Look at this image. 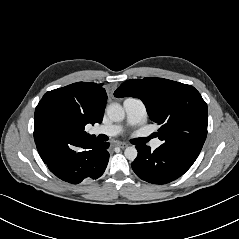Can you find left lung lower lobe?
<instances>
[{"label": "left lung lower lobe", "instance_id": "left-lung-lower-lobe-1", "mask_svg": "<svg viewBox=\"0 0 239 239\" xmlns=\"http://www.w3.org/2000/svg\"><path fill=\"white\" fill-rule=\"evenodd\" d=\"M136 149L138 156L132 162V169L142 180L153 184H165L179 178L198 157L168 144L154 151L146 145L136 146Z\"/></svg>", "mask_w": 239, "mask_h": 239}]
</instances>
